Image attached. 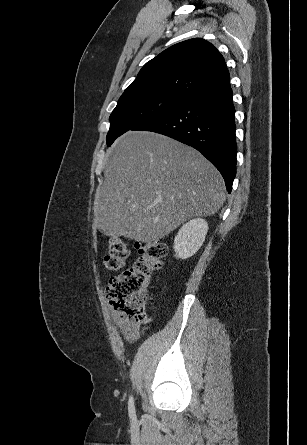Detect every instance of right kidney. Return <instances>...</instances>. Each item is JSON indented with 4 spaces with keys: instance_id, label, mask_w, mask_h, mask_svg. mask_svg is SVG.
I'll use <instances>...</instances> for the list:
<instances>
[{
    "instance_id": "right-kidney-1",
    "label": "right kidney",
    "mask_w": 307,
    "mask_h": 445,
    "mask_svg": "<svg viewBox=\"0 0 307 445\" xmlns=\"http://www.w3.org/2000/svg\"><path fill=\"white\" fill-rule=\"evenodd\" d=\"M208 233V223L204 218H193L181 227L174 241V251L178 259H189L202 247Z\"/></svg>"
}]
</instances>
